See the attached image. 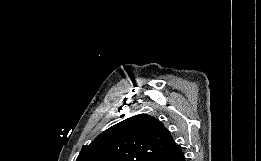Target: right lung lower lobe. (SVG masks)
<instances>
[{"label":"right lung lower lobe","mask_w":261,"mask_h":161,"mask_svg":"<svg viewBox=\"0 0 261 161\" xmlns=\"http://www.w3.org/2000/svg\"><path fill=\"white\" fill-rule=\"evenodd\" d=\"M157 161H185V157L183 152L180 150H178L177 152L168 155L166 157L161 158L160 160Z\"/></svg>","instance_id":"right-lung-lower-lobe-1"}]
</instances>
